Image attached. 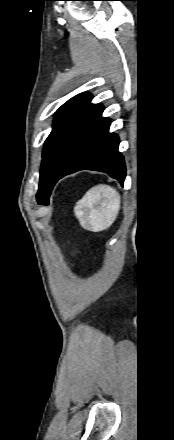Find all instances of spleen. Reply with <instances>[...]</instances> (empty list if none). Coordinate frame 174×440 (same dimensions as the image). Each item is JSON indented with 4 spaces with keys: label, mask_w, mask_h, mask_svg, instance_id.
Here are the masks:
<instances>
[{
    "label": "spleen",
    "mask_w": 174,
    "mask_h": 440,
    "mask_svg": "<svg viewBox=\"0 0 174 440\" xmlns=\"http://www.w3.org/2000/svg\"><path fill=\"white\" fill-rule=\"evenodd\" d=\"M120 195L115 188L99 184L89 189L75 207L80 225L93 232L109 228L120 210Z\"/></svg>",
    "instance_id": "spleen-1"
}]
</instances>
